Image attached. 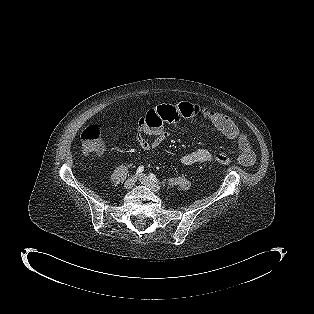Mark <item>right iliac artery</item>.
Here are the masks:
<instances>
[{"label": "right iliac artery", "instance_id": "right-iliac-artery-1", "mask_svg": "<svg viewBox=\"0 0 314 314\" xmlns=\"http://www.w3.org/2000/svg\"><path fill=\"white\" fill-rule=\"evenodd\" d=\"M143 171H144V167H143V166H139L138 169H137V171H136V172H137L136 174H137V175H138V174L140 175Z\"/></svg>", "mask_w": 314, "mask_h": 314}]
</instances>
